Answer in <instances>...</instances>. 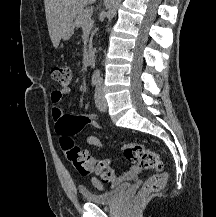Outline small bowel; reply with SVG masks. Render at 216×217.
Segmentation results:
<instances>
[{"label": "small bowel", "instance_id": "1", "mask_svg": "<svg viewBox=\"0 0 216 217\" xmlns=\"http://www.w3.org/2000/svg\"><path fill=\"white\" fill-rule=\"evenodd\" d=\"M71 93H72V89L69 88V87L54 90L51 93V96H50V100H51V103H52L51 116H52L53 121L56 124V127L59 125V123L64 118V112H63L62 108L60 107V103H61V101L63 100V98L65 96H67V95H69ZM85 144L87 146H95L100 150L103 149L101 141L95 136H88L85 139ZM93 160L96 161L95 158H93ZM107 163L110 164L109 161H107ZM137 172H138L137 167H131L123 175L115 177L112 180H110V184L112 186H115V185H118L119 183H121V182H123L125 180L132 179ZM92 185L94 187H96V188H101L102 187L101 181H99L96 178L92 179Z\"/></svg>", "mask_w": 216, "mask_h": 217}]
</instances>
